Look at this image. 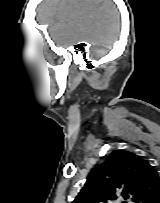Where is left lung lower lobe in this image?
<instances>
[{
    "label": "left lung lower lobe",
    "instance_id": "left-lung-lower-lobe-1",
    "mask_svg": "<svg viewBox=\"0 0 160 203\" xmlns=\"http://www.w3.org/2000/svg\"><path fill=\"white\" fill-rule=\"evenodd\" d=\"M150 203H160V183L158 184Z\"/></svg>",
    "mask_w": 160,
    "mask_h": 203
}]
</instances>
